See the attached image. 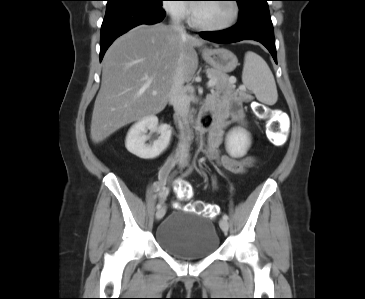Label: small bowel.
<instances>
[{
  "mask_svg": "<svg viewBox=\"0 0 365 299\" xmlns=\"http://www.w3.org/2000/svg\"><path fill=\"white\" fill-rule=\"evenodd\" d=\"M229 122H234L240 126H245V116L240 102L226 97L221 100L215 111V125L207 139V153L215 159L218 165L227 172L241 174L251 167L256 159L253 156L236 158L220 151L223 133ZM174 160L169 159L162 167L156 187L162 197L167 194L166 180L174 167Z\"/></svg>",
  "mask_w": 365,
  "mask_h": 299,
  "instance_id": "obj_1",
  "label": "small bowel"
}]
</instances>
